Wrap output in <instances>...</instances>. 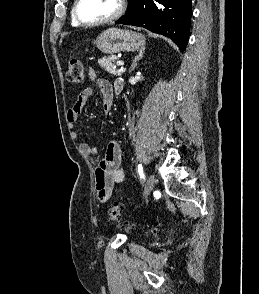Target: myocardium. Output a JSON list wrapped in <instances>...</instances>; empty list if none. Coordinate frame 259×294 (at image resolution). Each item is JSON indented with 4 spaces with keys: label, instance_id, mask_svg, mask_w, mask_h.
<instances>
[{
    "label": "myocardium",
    "instance_id": "obj_1",
    "mask_svg": "<svg viewBox=\"0 0 259 294\" xmlns=\"http://www.w3.org/2000/svg\"><path fill=\"white\" fill-rule=\"evenodd\" d=\"M80 2H81V0H75V3L72 8V17L78 25L83 26V27H96V26H101V25L113 22V21L119 19L124 14V12L126 10V0H118L117 9L113 14H111L110 16H108L104 19L98 20V21L86 22V21L82 20L79 15L78 7H79Z\"/></svg>",
    "mask_w": 259,
    "mask_h": 294
}]
</instances>
